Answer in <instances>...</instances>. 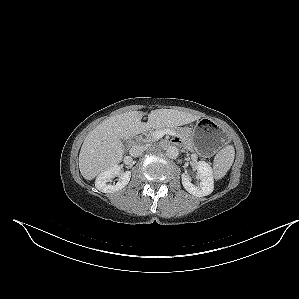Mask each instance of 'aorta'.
Here are the masks:
<instances>
[{"label":"aorta","mask_w":299,"mask_h":299,"mask_svg":"<svg viewBox=\"0 0 299 299\" xmlns=\"http://www.w3.org/2000/svg\"><path fill=\"white\" fill-rule=\"evenodd\" d=\"M166 155L169 158L175 159L179 155V149L176 146H169L166 149Z\"/></svg>","instance_id":"aorta-1"}]
</instances>
